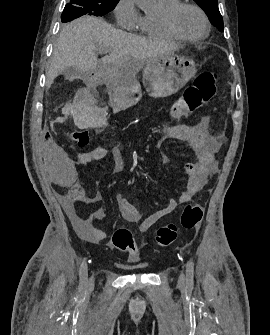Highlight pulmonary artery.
<instances>
[{
  "label": "pulmonary artery",
  "instance_id": "obj_1",
  "mask_svg": "<svg viewBox=\"0 0 270 335\" xmlns=\"http://www.w3.org/2000/svg\"><path fill=\"white\" fill-rule=\"evenodd\" d=\"M162 1H172V0H162Z\"/></svg>",
  "mask_w": 270,
  "mask_h": 335
}]
</instances>
